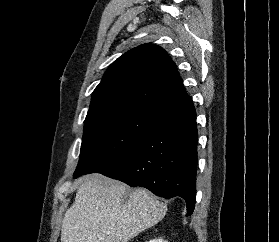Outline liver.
Returning a JSON list of instances; mask_svg holds the SVG:
<instances>
[{
  "instance_id": "obj_1",
  "label": "liver",
  "mask_w": 279,
  "mask_h": 242,
  "mask_svg": "<svg viewBox=\"0 0 279 242\" xmlns=\"http://www.w3.org/2000/svg\"><path fill=\"white\" fill-rule=\"evenodd\" d=\"M166 212V204L145 189L130 192L119 181L88 176L64 215L61 242H128Z\"/></svg>"
}]
</instances>
